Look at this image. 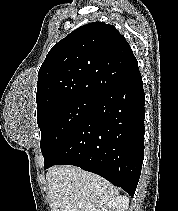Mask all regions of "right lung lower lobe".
Listing matches in <instances>:
<instances>
[{
    "instance_id": "obj_1",
    "label": "right lung lower lobe",
    "mask_w": 178,
    "mask_h": 211,
    "mask_svg": "<svg viewBox=\"0 0 178 211\" xmlns=\"http://www.w3.org/2000/svg\"><path fill=\"white\" fill-rule=\"evenodd\" d=\"M145 93L140 72L96 99L88 115L44 159L96 173L133 196L144 158Z\"/></svg>"
}]
</instances>
